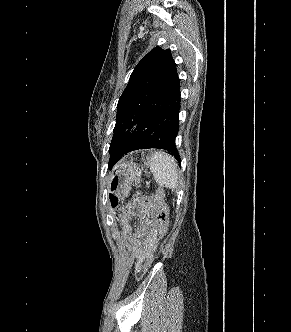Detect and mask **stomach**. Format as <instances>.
Instances as JSON below:
<instances>
[{
	"label": "stomach",
	"mask_w": 291,
	"mask_h": 332,
	"mask_svg": "<svg viewBox=\"0 0 291 332\" xmlns=\"http://www.w3.org/2000/svg\"><path fill=\"white\" fill-rule=\"evenodd\" d=\"M138 166L135 163H123L111 173L110 189L119 198L127 196L136 178Z\"/></svg>",
	"instance_id": "stomach-1"
}]
</instances>
